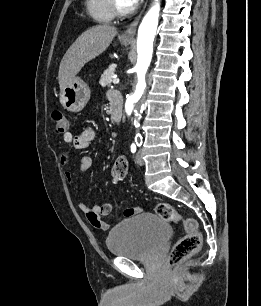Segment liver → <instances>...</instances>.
Wrapping results in <instances>:
<instances>
[{"label":"liver","mask_w":261,"mask_h":306,"mask_svg":"<svg viewBox=\"0 0 261 306\" xmlns=\"http://www.w3.org/2000/svg\"><path fill=\"white\" fill-rule=\"evenodd\" d=\"M117 34L109 25H97L83 32L63 56L58 73L60 90L69 85L86 63L102 54Z\"/></svg>","instance_id":"6515ba94"}]
</instances>
